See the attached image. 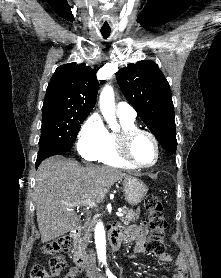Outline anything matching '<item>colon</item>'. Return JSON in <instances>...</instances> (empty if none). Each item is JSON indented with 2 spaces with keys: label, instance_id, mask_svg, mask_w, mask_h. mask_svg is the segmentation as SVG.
Segmentation results:
<instances>
[{
  "label": "colon",
  "instance_id": "1",
  "mask_svg": "<svg viewBox=\"0 0 221 278\" xmlns=\"http://www.w3.org/2000/svg\"><path fill=\"white\" fill-rule=\"evenodd\" d=\"M147 211V224L150 230L146 243L147 249L155 254L164 252V238L167 229V221L163 214V206L155 195H148L144 201ZM71 239L67 236L46 243L42 250L44 254L51 255V274L42 266H34L30 278H51L57 276L65 267L64 253L69 251Z\"/></svg>",
  "mask_w": 221,
  "mask_h": 278
}]
</instances>
